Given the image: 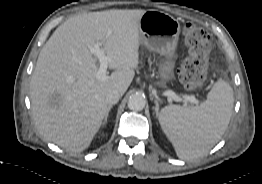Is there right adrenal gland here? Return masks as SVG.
Listing matches in <instances>:
<instances>
[{
  "instance_id": "1",
  "label": "right adrenal gland",
  "mask_w": 262,
  "mask_h": 184,
  "mask_svg": "<svg viewBox=\"0 0 262 184\" xmlns=\"http://www.w3.org/2000/svg\"><path fill=\"white\" fill-rule=\"evenodd\" d=\"M111 108H112V105H109V106H108V109H107V112H106V115H105V118H104V123L107 122L108 115H109V112H110Z\"/></svg>"
}]
</instances>
